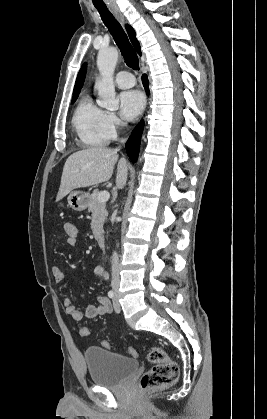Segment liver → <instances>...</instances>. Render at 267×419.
I'll use <instances>...</instances> for the list:
<instances>
[{"instance_id":"1","label":"liver","mask_w":267,"mask_h":419,"mask_svg":"<svg viewBox=\"0 0 267 419\" xmlns=\"http://www.w3.org/2000/svg\"><path fill=\"white\" fill-rule=\"evenodd\" d=\"M117 161V150L106 147H90L73 153L65 162L56 200H61L76 188L108 181ZM127 174V161L125 158H120L116 176L118 188H123L125 185Z\"/></svg>"}]
</instances>
